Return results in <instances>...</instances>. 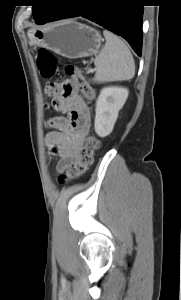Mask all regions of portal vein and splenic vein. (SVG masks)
Returning <instances> with one entry per match:
<instances>
[{"instance_id": "18ae733b", "label": "portal vein and splenic vein", "mask_w": 181, "mask_h": 300, "mask_svg": "<svg viewBox=\"0 0 181 300\" xmlns=\"http://www.w3.org/2000/svg\"><path fill=\"white\" fill-rule=\"evenodd\" d=\"M95 69H89L88 73H93Z\"/></svg>"}]
</instances>
